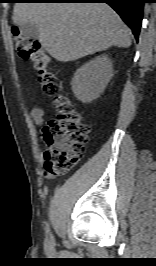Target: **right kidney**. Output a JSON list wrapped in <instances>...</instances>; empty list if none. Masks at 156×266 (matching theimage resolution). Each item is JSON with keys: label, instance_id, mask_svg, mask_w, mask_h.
<instances>
[{"label": "right kidney", "instance_id": "obj_1", "mask_svg": "<svg viewBox=\"0 0 156 266\" xmlns=\"http://www.w3.org/2000/svg\"><path fill=\"white\" fill-rule=\"evenodd\" d=\"M112 75L111 60L106 55L99 56L75 72L71 82L72 91L79 101L91 102L105 89Z\"/></svg>", "mask_w": 156, "mask_h": 266}]
</instances>
